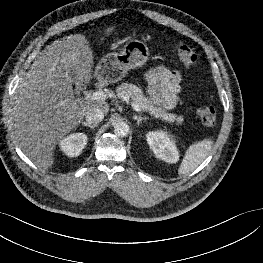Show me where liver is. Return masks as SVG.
Here are the masks:
<instances>
[{
    "label": "liver",
    "instance_id": "1",
    "mask_svg": "<svg viewBox=\"0 0 263 263\" xmlns=\"http://www.w3.org/2000/svg\"><path fill=\"white\" fill-rule=\"evenodd\" d=\"M114 30L109 27L106 34ZM93 51L84 35L54 41L38 56L15 90L9 121L22 152L39 168L54 164L58 142L81 123L86 112L105 101L75 98L73 80L87 84L93 78Z\"/></svg>",
    "mask_w": 263,
    "mask_h": 263
}]
</instances>
